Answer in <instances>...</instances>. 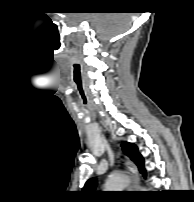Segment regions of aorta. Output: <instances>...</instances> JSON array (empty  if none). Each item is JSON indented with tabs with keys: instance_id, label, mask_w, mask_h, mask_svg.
<instances>
[{
	"instance_id": "762f6f07",
	"label": "aorta",
	"mask_w": 194,
	"mask_h": 202,
	"mask_svg": "<svg viewBox=\"0 0 194 202\" xmlns=\"http://www.w3.org/2000/svg\"><path fill=\"white\" fill-rule=\"evenodd\" d=\"M129 184V178L124 175H112L106 181V189L109 191H122Z\"/></svg>"
}]
</instances>
